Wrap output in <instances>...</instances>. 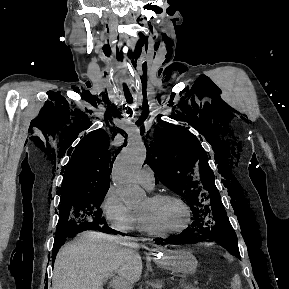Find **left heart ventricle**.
Here are the masks:
<instances>
[{"mask_svg":"<svg viewBox=\"0 0 289 289\" xmlns=\"http://www.w3.org/2000/svg\"><path fill=\"white\" fill-rule=\"evenodd\" d=\"M138 212L143 214L155 229L164 232L178 230L187 221L185 210L173 200L154 202L147 198Z\"/></svg>","mask_w":289,"mask_h":289,"instance_id":"left-heart-ventricle-1","label":"left heart ventricle"}]
</instances>
